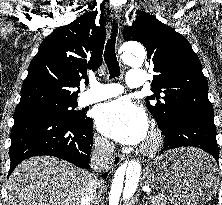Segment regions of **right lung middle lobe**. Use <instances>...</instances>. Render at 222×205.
Masks as SVG:
<instances>
[{
    "label": "right lung middle lobe",
    "instance_id": "1",
    "mask_svg": "<svg viewBox=\"0 0 222 205\" xmlns=\"http://www.w3.org/2000/svg\"><path fill=\"white\" fill-rule=\"evenodd\" d=\"M77 101L62 102V101H48L40 104L33 109H43L52 113L63 116L71 123L86 124L91 119L86 116L84 111H76Z\"/></svg>",
    "mask_w": 222,
    "mask_h": 205
}]
</instances>
